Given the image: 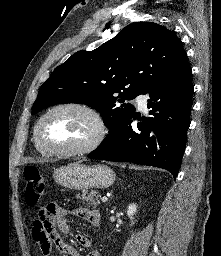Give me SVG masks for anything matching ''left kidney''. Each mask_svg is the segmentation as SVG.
Segmentation results:
<instances>
[{
  "mask_svg": "<svg viewBox=\"0 0 221 256\" xmlns=\"http://www.w3.org/2000/svg\"><path fill=\"white\" fill-rule=\"evenodd\" d=\"M137 212V205L136 204H130L127 208V215L131 220V224H134V215Z\"/></svg>",
  "mask_w": 221,
  "mask_h": 256,
  "instance_id": "obj_1",
  "label": "left kidney"
}]
</instances>
